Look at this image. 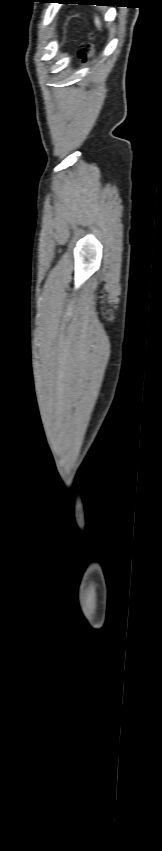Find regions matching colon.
Returning <instances> with one entry per match:
<instances>
[{
  "label": "colon",
  "instance_id": "colon-1",
  "mask_svg": "<svg viewBox=\"0 0 162 851\" xmlns=\"http://www.w3.org/2000/svg\"><path fill=\"white\" fill-rule=\"evenodd\" d=\"M95 54V49L92 44H83L78 51V57L86 63Z\"/></svg>",
  "mask_w": 162,
  "mask_h": 851
}]
</instances>
